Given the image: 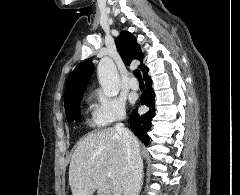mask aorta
Returning <instances> with one entry per match:
<instances>
[{"instance_id":"1","label":"aorta","mask_w":240,"mask_h":195,"mask_svg":"<svg viewBox=\"0 0 240 195\" xmlns=\"http://www.w3.org/2000/svg\"><path fill=\"white\" fill-rule=\"evenodd\" d=\"M98 82L107 98H115L120 92L118 70L112 58H101L97 66Z\"/></svg>"}]
</instances>
